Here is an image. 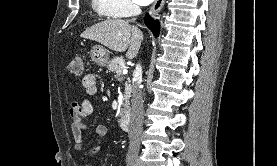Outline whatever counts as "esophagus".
Listing matches in <instances>:
<instances>
[{
  "mask_svg": "<svg viewBox=\"0 0 277 166\" xmlns=\"http://www.w3.org/2000/svg\"><path fill=\"white\" fill-rule=\"evenodd\" d=\"M165 0H155L154 4L150 9V14L152 16L158 15L162 7L164 6Z\"/></svg>",
  "mask_w": 277,
  "mask_h": 166,
  "instance_id": "esophagus-1",
  "label": "esophagus"
}]
</instances>
